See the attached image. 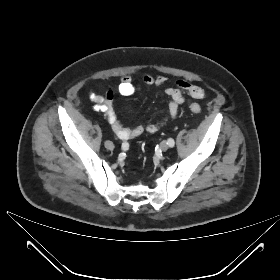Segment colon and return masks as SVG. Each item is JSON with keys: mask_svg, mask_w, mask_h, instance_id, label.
I'll return each mask as SVG.
<instances>
[{"mask_svg": "<svg viewBox=\"0 0 280 280\" xmlns=\"http://www.w3.org/2000/svg\"><path fill=\"white\" fill-rule=\"evenodd\" d=\"M189 108H190V111L193 113H199L201 111V107L197 103H192Z\"/></svg>", "mask_w": 280, "mask_h": 280, "instance_id": "obj_1", "label": "colon"}]
</instances>
